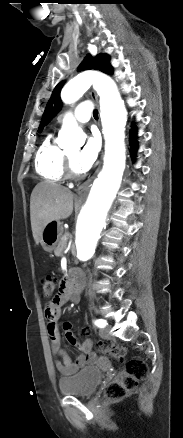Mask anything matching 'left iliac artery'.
Segmentation results:
<instances>
[{
    "label": "left iliac artery",
    "instance_id": "obj_1",
    "mask_svg": "<svg viewBox=\"0 0 183 438\" xmlns=\"http://www.w3.org/2000/svg\"><path fill=\"white\" fill-rule=\"evenodd\" d=\"M94 324L99 328H104V327H106L107 322H106V320H103V319H97L94 321Z\"/></svg>",
    "mask_w": 183,
    "mask_h": 438
}]
</instances>
